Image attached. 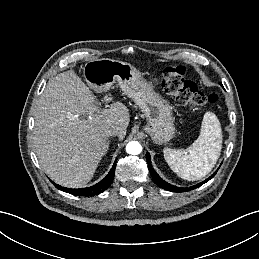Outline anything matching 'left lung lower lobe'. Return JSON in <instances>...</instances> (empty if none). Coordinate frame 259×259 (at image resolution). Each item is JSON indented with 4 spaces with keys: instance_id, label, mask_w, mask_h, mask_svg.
Instances as JSON below:
<instances>
[{
    "instance_id": "obj_1",
    "label": "left lung lower lobe",
    "mask_w": 259,
    "mask_h": 259,
    "mask_svg": "<svg viewBox=\"0 0 259 259\" xmlns=\"http://www.w3.org/2000/svg\"><path fill=\"white\" fill-rule=\"evenodd\" d=\"M146 157H147V163H148V168H149V171H150V174L153 178V180L157 183V185L165 190H168V191H172V192H187V191H190V190H193L195 188H198L199 186H201L202 184L206 183L207 181H209L211 178L214 177V175L216 174V172L211 175L208 179H206L205 181L197 184V185H194L192 187H189V188H180V187H176L174 185H171L169 183H167L166 181H164L162 178H160V176L154 171V169L152 168L151 166V160H150V155L149 153L147 152L146 154Z\"/></svg>"
}]
</instances>
